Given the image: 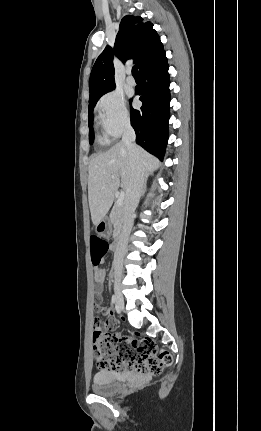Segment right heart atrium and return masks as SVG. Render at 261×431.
I'll return each mask as SVG.
<instances>
[{"label": "right heart atrium", "instance_id": "d8ad5b80", "mask_svg": "<svg viewBox=\"0 0 261 431\" xmlns=\"http://www.w3.org/2000/svg\"><path fill=\"white\" fill-rule=\"evenodd\" d=\"M98 122L106 136L119 137L130 124L125 99L116 91L104 94L96 104Z\"/></svg>", "mask_w": 261, "mask_h": 431}]
</instances>
